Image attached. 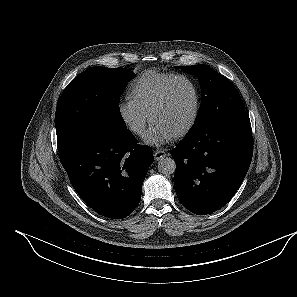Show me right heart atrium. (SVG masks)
Here are the masks:
<instances>
[{
	"label": "right heart atrium",
	"mask_w": 297,
	"mask_h": 297,
	"mask_svg": "<svg viewBox=\"0 0 297 297\" xmlns=\"http://www.w3.org/2000/svg\"><path fill=\"white\" fill-rule=\"evenodd\" d=\"M117 113L122 124L131 134L143 135L149 116L131 97L119 100Z\"/></svg>",
	"instance_id": "1"
}]
</instances>
